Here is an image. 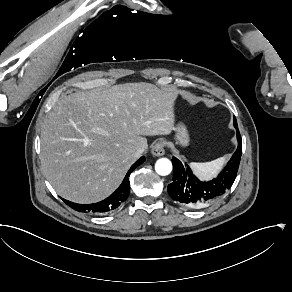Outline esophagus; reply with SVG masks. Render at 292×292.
<instances>
[{
	"instance_id": "1",
	"label": "esophagus",
	"mask_w": 292,
	"mask_h": 292,
	"mask_svg": "<svg viewBox=\"0 0 292 292\" xmlns=\"http://www.w3.org/2000/svg\"><path fill=\"white\" fill-rule=\"evenodd\" d=\"M153 156H162L165 154L164 141L159 140L151 149Z\"/></svg>"
}]
</instances>
